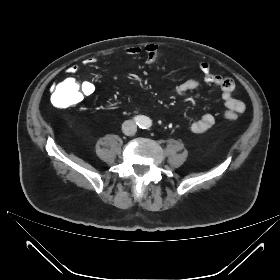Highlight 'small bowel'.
I'll return each instance as SVG.
<instances>
[{
  "label": "small bowel",
  "instance_id": "c3829d8e",
  "mask_svg": "<svg viewBox=\"0 0 280 280\" xmlns=\"http://www.w3.org/2000/svg\"><path fill=\"white\" fill-rule=\"evenodd\" d=\"M125 53L129 56L137 57L141 54H145L146 62L148 64H153L157 61L159 56V49L154 44H149L145 48L138 46H130L125 49ZM98 61L95 57H90L86 60V65L94 64ZM199 68L203 73V79L192 78L179 83L175 87V92L177 95H183L189 91L196 90L200 87L201 83L204 82L209 86H215L219 88L222 92V100L227 108L224 116L233 114L237 117L238 114L245 110V104L236 99L233 96V91L235 88L234 81L231 78L223 77L221 75L215 74L211 71L209 64L205 61L200 62ZM79 70V66L74 64L68 68L70 74H76ZM96 90V85L92 81H83L80 85V95L83 99L85 96L92 95ZM215 123V118L211 114H204L191 124V131L193 133H203L210 129Z\"/></svg>",
  "mask_w": 280,
  "mask_h": 280
}]
</instances>
